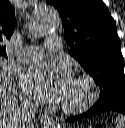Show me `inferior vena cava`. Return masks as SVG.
I'll return each mask as SVG.
<instances>
[{"mask_svg":"<svg viewBox=\"0 0 125 128\" xmlns=\"http://www.w3.org/2000/svg\"><path fill=\"white\" fill-rule=\"evenodd\" d=\"M37 106L33 103L26 102L22 106V110L19 114V128H26L28 124L35 118Z\"/></svg>","mask_w":125,"mask_h":128,"instance_id":"602c4592","label":"inferior vena cava"}]
</instances>
